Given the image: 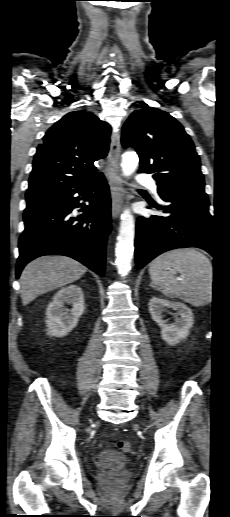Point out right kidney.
<instances>
[{"mask_svg":"<svg viewBox=\"0 0 230 517\" xmlns=\"http://www.w3.org/2000/svg\"><path fill=\"white\" fill-rule=\"evenodd\" d=\"M65 304L71 305L72 308L67 309ZM84 309V295L78 285H70L59 290L46 309L47 334L56 337L66 336L75 328Z\"/></svg>","mask_w":230,"mask_h":517,"instance_id":"ca27d5eb","label":"right kidney"}]
</instances>
